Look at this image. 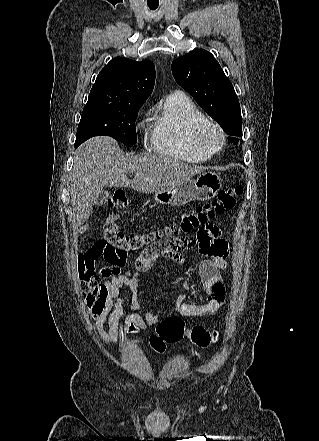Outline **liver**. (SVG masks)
<instances>
[{
    "label": "liver",
    "instance_id": "6515ba94",
    "mask_svg": "<svg viewBox=\"0 0 319 441\" xmlns=\"http://www.w3.org/2000/svg\"><path fill=\"white\" fill-rule=\"evenodd\" d=\"M205 169L162 155L124 153L114 139L93 137L76 150L71 172V202L73 218L80 225L78 232L88 229V224H83L103 187H129L149 194L167 190ZM130 173L135 174L132 180L127 178Z\"/></svg>",
    "mask_w": 319,
    "mask_h": 441
}]
</instances>
